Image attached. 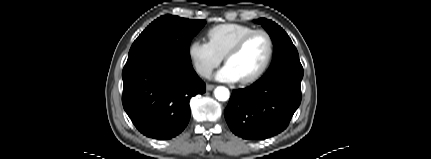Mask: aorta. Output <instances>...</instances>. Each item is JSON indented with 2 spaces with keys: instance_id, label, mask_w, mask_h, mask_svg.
<instances>
[{
  "instance_id": "762f6f07",
  "label": "aorta",
  "mask_w": 431,
  "mask_h": 159,
  "mask_svg": "<svg viewBox=\"0 0 431 159\" xmlns=\"http://www.w3.org/2000/svg\"><path fill=\"white\" fill-rule=\"evenodd\" d=\"M214 95L219 101H227L229 99L230 92L227 88L219 86L215 89Z\"/></svg>"
}]
</instances>
